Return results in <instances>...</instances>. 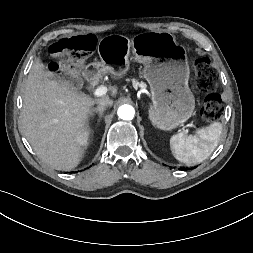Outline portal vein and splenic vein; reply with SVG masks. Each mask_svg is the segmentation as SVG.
I'll return each instance as SVG.
<instances>
[{
	"label": "portal vein and splenic vein",
	"mask_w": 253,
	"mask_h": 253,
	"mask_svg": "<svg viewBox=\"0 0 253 253\" xmlns=\"http://www.w3.org/2000/svg\"><path fill=\"white\" fill-rule=\"evenodd\" d=\"M107 93V87L105 86H100L96 88L93 92L94 96L96 97H101L104 96ZM185 133H188V130H184Z\"/></svg>",
	"instance_id": "18ae733b"
}]
</instances>
